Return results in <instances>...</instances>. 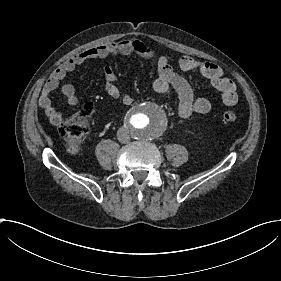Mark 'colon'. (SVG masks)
<instances>
[{"mask_svg":"<svg viewBox=\"0 0 281 281\" xmlns=\"http://www.w3.org/2000/svg\"><path fill=\"white\" fill-rule=\"evenodd\" d=\"M221 119L226 124H235L238 121V114L234 110L225 109L221 114ZM87 133V125L77 118L68 119L61 126V135L68 149L72 152H79L81 150Z\"/></svg>","mask_w":281,"mask_h":281,"instance_id":"obj_1","label":"colon"}]
</instances>
